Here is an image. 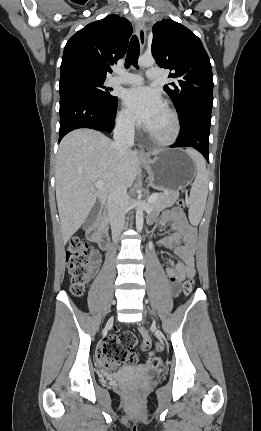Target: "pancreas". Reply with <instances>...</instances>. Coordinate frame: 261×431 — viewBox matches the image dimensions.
<instances>
[{
    "label": "pancreas",
    "instance_id": "1",
    "mask_svg": "<svg viewBox=\"0 0 261 431\" xmlns=\"http://www.w3.org/2000/svg\"><path fill=\"white\" fill-rule=\"evenodd\" d=\"M179 197L177 191H166L157 194V199L151 204V208L155 211H162L168 207L173 206Z\"/></svg>",
    "mask_w": 261,
    "mask_h": 431
}]
</instances>
